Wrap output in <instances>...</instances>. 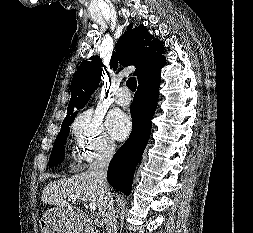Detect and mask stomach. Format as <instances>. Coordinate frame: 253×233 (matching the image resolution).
<instances>
[{
  "mask_svg": "<svg viewBox=\"0 0 253 233\" xmlns=\"http://www.w3.org/2000/svg\"><path fill=\"white\" fill-rule=\"evenodd\" d=\"M42 233H80L75 221L74 210L53 208L48 210L40 220Z\"/></svg>",
  "mask_w": 253,
  "mask_h": 233,
  "instance_id": "stomach-1",
  "label": "stomach"
}]
</instances>
